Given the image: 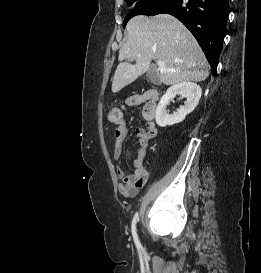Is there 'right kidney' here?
I'll use <instances>...</instances> for the list:
<instances>
[{
    "label": "right kidney",
    "mask_w": 261,
    "mask_h": 273,
    "mask_svg": "<svg viewBox=\"0 0 261 273\" xmlns=\"http://www.w3.org/2000/svg\"><path fill=\"white\" fill-rule=\"evenodd\" d=\"M176 95L186 98L183 106L177 112L169 114L166 106ZM202 95V89L199 85L193 82H182L172 85L167 89L162 96L157 109L155 120L158 126L166 127L182 122L186 115L190 114L198 105Z\"/></svg>",
    "instance_id": "ca27d5eb"
}]
</instances>
